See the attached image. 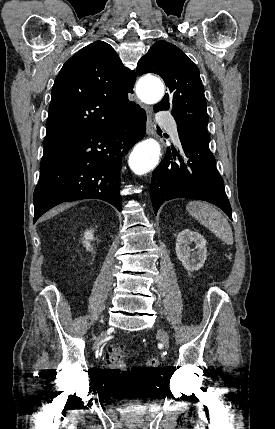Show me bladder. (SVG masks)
I'll use <instances>...</instances> for the list:
<instances>
[{
	"instance_id": "1",
	"label": "bladder",
	"mask_w": 275,
	"mask_h": 429,
	"mask_svg": "<svg viewBox=\"0 0 275 429\" xmlns=\"http://www.w3.org/2000/svg\"><path fill=\"white\" fill-rule=\"evenodd\" d=\"M110 384L107 397L118 398L119 403H144L145 398H152L151 377H111Z\"/></svg>"
}]
</instances>
